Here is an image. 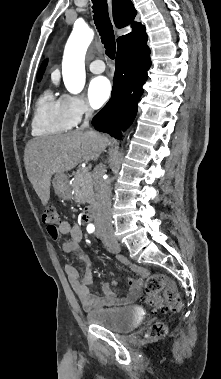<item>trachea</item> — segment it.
<instances>
[{
    "label": "trachea",
    "instance_id": "3493384b",
    "mask_svg": "<svg viewBox=\"0 0 221 379\" xmlns=\"http://www.w3.org/2000/svg\"><path fill=\"white\" fill-rule=\"evenodd\" d=\"M92 3L93 19L104 44L105 53L110 59H114L116 43L113 26L109 18L107 0H92Z\"/></svg>",
    "mask_w": 221,
    "mask_h": 379
}]
</instances>
